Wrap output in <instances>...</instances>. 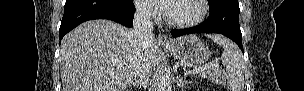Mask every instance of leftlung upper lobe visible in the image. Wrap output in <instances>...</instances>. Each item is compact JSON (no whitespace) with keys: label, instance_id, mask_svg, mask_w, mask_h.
Returning <instances> with one entry per match:
<instances>
[{"label":"left lung upper lobe","instance_id":"1","mask_svg":"<svg viewBox=\"0 0 304 91\" xmlns=\"http://www.w3.org/2000/svg\"><path fill=\"white\" fill-rule=\"evenodd\" d=\"M224 1H226V0H208L209 9L215 8L216 6H218L219 4H221Z\"/></svg>","mask_w":304,"mask_h":91}]
</instances>
